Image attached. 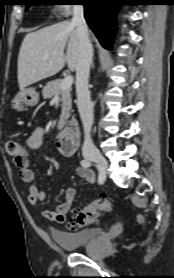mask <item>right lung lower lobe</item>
<instances>
[{
    "mask_svg": "<svg viewBox=\"0 0 174 278\" xmlns=\"http://www.w3.org/2000/svg\"><path fill=\"white\" fill-rule=\"evenodd\" d=\"M85 18L103 47L109 49L115 31V20L120 0H80Z\"/></svg>",
    "mask_w": 174,
    "mask_h": 278,
    "instance_id": "98d812e1",
    "label": "right lung lower lobe"
}]
</instances>
